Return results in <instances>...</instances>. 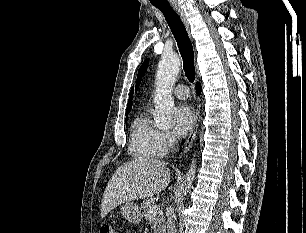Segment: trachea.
I'll use <instances>...</instances> for the list:
<instances>
[{
    "instance_id": "3493384b",
    "label": "trachea",
    "mask_w": 306,
    "mask_h": 233,
    "mask_svg": "<svg viewBox=\"0 0 306 233\" xmlns=\"http://www.w3.org/2000/svg\"><path fill=\"white\" fill-rule=\"evenodd\" d=\"M164 15L173 35L177 41L180 54L183 59L185 75L190 82L195 79L194 51L186 28L179 15L172 9L170 4H153Z\"/></svg>"
}]
</instances>
